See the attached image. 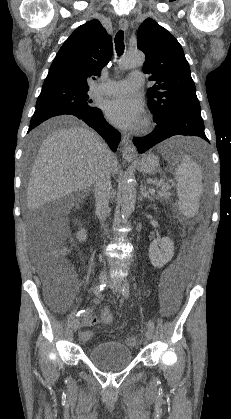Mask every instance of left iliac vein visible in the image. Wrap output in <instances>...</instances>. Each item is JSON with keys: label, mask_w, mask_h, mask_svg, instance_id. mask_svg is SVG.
<instances>
[{"label": "left iliac vein", "mask_w": 231, "mask_h": 419, "mask_svg": "<svg viewBox=\"0 0 231 419\" xmlns=\"http://www.w3.org/2000/svg\"><path fill=\"white\" fill-rule=\"evenodd\" d=\"M111 287L112 290L117 293L120 292L122 289V281L119 277H114L111 279ZM145 337L148 341L152 340L153 338V331L150 329H147L146 333H145Z\"/></svg>", "instance_id": "1"}]
</instances>
